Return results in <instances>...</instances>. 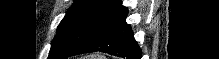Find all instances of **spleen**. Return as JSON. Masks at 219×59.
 Returning a JSON list of instances; mask_svg holds the SVG:
<instances>
[{
  "label": "spleen",
  "instance_id": "1",
  "mask_svg": "<svg viewBox=\"0 0 219 59\" xmlns=\"http://www.w3.org/2000/svg\"><path fill=\"white\" fill-rule=\"evenodd\" d=\"M95 59H101V57L95 58Z\"/></svg>",
  "mask_w": 219,
  "mask_h": 59
}]
</instances>
